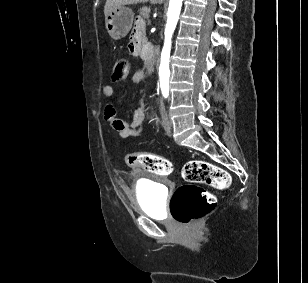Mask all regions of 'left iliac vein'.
<instances>
[{"label":"left iliac vein","instance_id":"4c4485c4","mask_svg":"<svg viewBox=\"0 0 308 283\" xmlns=\"http://www.w3.org/2000/svg\"><path fill=\"white\" fill-rule=\"evenodd\" d=\"M164 128L168 131L171 128V121L169 120L167 114L164 115V120H163Z\"/></svg>","mask_w":308,"mask_h":283}]
</instances>
